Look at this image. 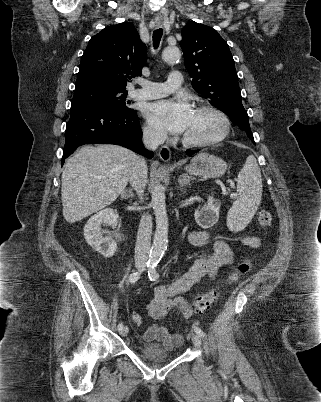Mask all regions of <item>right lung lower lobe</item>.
I'll use <instances>...</instances> for the list:
<instances>
[{"label":"right lung lower lobe","instance_id":"98d812e1","mask_svg":"<svg viewBox=\"0 0 321 402\" xmlns=\"http://www.w3.org/2000/svg\"><path fill=\"white\" fill-rule=\"evenodd\" d=\"M142 131L135 110L110 112L93 108L71 110L66 125L62 165L79 146L107 143L124 146L147 158L153 153L141 142Z\"/></svg>","mask_w":321,"mask_h":402}]
</instances>
